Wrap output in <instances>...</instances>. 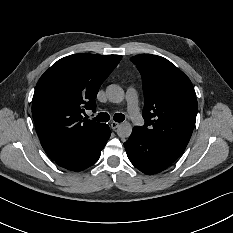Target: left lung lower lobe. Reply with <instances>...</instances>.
I'll list each match as a JSON object with an SVG mask.
<instances>
[{"mask_svg":"<svg viewBox=\"0 0 233 233\" xmlns=\"http://www.w3.org/2000/svg\"><path fill=\"white\" fill-rule=\"evenodd\" d=\"M124 146L131 163L145 174L165 170L183 153L181 149L148 139L135 127Z\"/></svg>","mask_w":233,"mask_h":233,"instance_id":"0a47b994","label":"left lung lower lobe"}]
</instances>
